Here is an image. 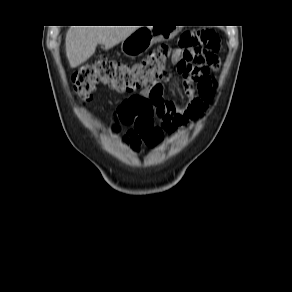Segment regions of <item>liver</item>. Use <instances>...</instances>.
Here are the masks:
<instances>
[{
    "label": "liver",
    "instance_id": "liver-1",
    "mask_svg": "<svg viewBox=\"0 0 292 292\" xmlns=\"http://www.w3.org/2000/svg\"><path fill=\"white\" fill-rule=\"evenodd\" d=\"M137 28L135 26H72L66 33V55L71 68L87 61L98 44L110 49L117 45Z\"/></svg>",
    "mask_w": 292,
    "mask_h": 292
}]
</instances>
